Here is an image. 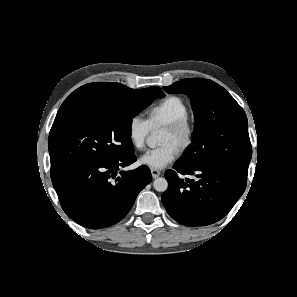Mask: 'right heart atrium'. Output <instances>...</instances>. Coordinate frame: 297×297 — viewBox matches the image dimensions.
Wrapping results in <instances>:
<instances>
[{"label":"right heart atrium","instance_id":"d8ad5b80","mask_svg":"<svg viewBox=\"0 0 297 297\" xmlns=\"http://www.w3.org/2000/svg\"><path fill=\"white\" fill-rule=\"evenodd\" d=\"M150 132V125L140 115L132 116L127 124V135L131 144L138 150L145 147L147 136Z\"/></svg>","mask_w":297,"mask_h":297}]
</instances>
